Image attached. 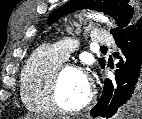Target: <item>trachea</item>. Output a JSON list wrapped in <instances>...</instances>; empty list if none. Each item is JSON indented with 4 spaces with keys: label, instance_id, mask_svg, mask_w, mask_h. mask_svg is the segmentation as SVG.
<instances>
[{
    "label": "trachea",
    "instance_id": "3493384b",
    "mask_svg": "<svg viewBox=\"0 0 142 119\" xmlns=\"http://www.w3.org/2000/svg\"><path fill=\"white\" fill-rule=\"evenodd\" d=\"M100 49H107V47L106 46H101Z\"/></svg>",
    "mask_w": 142,
    "mask_h": 119
}]
</instances>
